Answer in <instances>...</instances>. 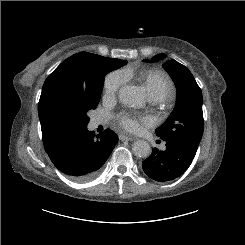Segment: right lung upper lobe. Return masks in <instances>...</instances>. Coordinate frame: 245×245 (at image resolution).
<instances>
[{
	"instance_id": "obj_1",
	"label": "right lung upper lobe",
	"mask_w": 245,
	"mask_h": 245,
	"mask_svg": "<svg viewBox=\"0 0 245 245\" xmlns=\"http://www.w3.org/2000/svg\"><path fill=\"white\" fill-rule=\"evenodd\" d=\"M90 55L91 53L80 52L63 61L46 79L39 103L42 102L45 89L53 82H63L74 92L89 94L93 89V80L85 60ZM40 104L38 114L41 122L43 144L45 150H47L67 134L56 131L51 127L41 113Z\"/></svg>"
}]
</instances>
